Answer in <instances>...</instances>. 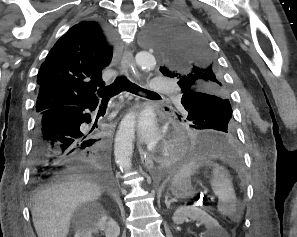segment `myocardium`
<instances>
[{"mask_svg":"<svg viewBox=\"0 0 297 237\" xmlns=\"http://www.w3.org/2000/svg\"><path fill=\"white\" fill-rule=\"evenodd\" d=\"M173 148V144L169 140H164L162 146H161V153L164 156H167L170 154L171 150Z\"/></svg>","mask_w":297,"mask_h":237,"instance_id":"myocardium-1","label":"myocardium"}]
</instances>
